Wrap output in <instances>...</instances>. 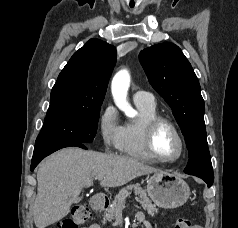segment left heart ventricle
<instances>
[{
	"instance_id": "obj_1",
	"label": "left heart ventricle",
	"mask_w": 238,
	"mask_h": 228,
	"mask_svg": "<svg viewBox=\"0 0 238 228\" xmlns=\"http://www.w3.org/2000/svg\"><path fill=\"white\" fill-rule=\"evenodd\" d=\"M154 145L156 152L163 158L171 159L179 153V143L171 129L166 126L158 131Z\"/></svg>"
}]
</instances>
